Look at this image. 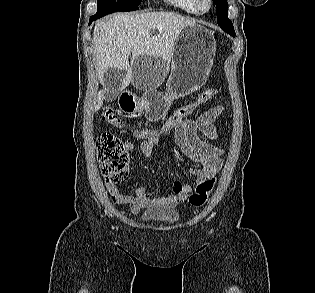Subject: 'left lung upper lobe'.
Wrapping results in <instances>:
<instances>
[{
    "instance_id": "5c2ea615",
    "label": "left lung upper lobe",
    "mask_w": 315,
    "mask_h": 293,
    "mask_svg": "<svg viewBox=\"0 0 315 293\" xmlns=\"http://www.w3.org/2000/svg\"><path fill=\"white\" fill-rule=\"evenodd\" d=\"M216 4V12L218 16V25L231 36H235V31L231 20L228 18L227 0H213Z\"/></svg>"
}]
</instances>
